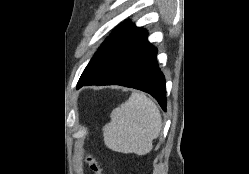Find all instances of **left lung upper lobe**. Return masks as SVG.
Instances as JSON below:
<instances>
[{
    "mask_svg": "<svg viewBox=\"0 0 249 174\" xmlns=\"http://www.w3.org/2000/svg\"><path fill=\"white\" fill-rule=\"evenodd\" d=\"M142 28H138L129 21H125L118 25L103 42L99 50L95 53L80 79L90 78L101 68H103L113 57L116 51L131 37L140 32Z\"/></svg>",
    "mask_w": 249,
    "mask_h": 174,
    "instance_id": "left-lung-upper-lobe-1",
    "label": "left lung upper lobe"
}]
</instances>
